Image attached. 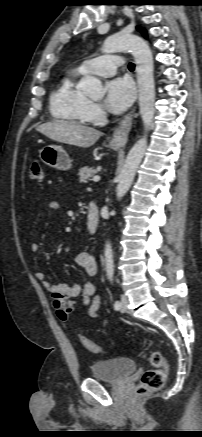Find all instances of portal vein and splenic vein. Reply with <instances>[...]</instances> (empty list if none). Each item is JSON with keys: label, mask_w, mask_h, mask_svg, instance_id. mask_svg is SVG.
I'll use <instances>...</instances> for the list:
<instances>
[{"label": "portal vein and splenic vein", "mask_w": 202, "mask_h": 437, "mask_svg": "<svg viewBox=\"0 0 202 437\" xmlns=\"http://www.w3.org/2000/svg\"><path fill=\"white\" fill-rule=\"evenodd\" d=\"M99 180H100V176H94V177H93V181H94V182H97V181H99Z\"/></svg>", "instance_id": "1"}]
</instances>
